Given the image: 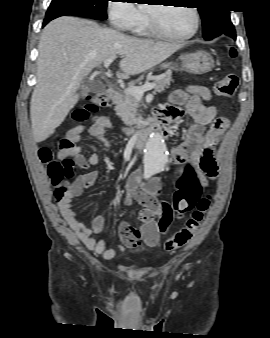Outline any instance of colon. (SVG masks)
Listing matches in <instances>:
<instances>
[{
    "label": "colon",
    "instance_id": "5ec220e1",
    "mask_svg": "<svg viewBox=\"0 0 270 338\" xmlns=\"http://www.w3.org/2000/svg\"><path fill=\"white\" fill-rule=\"evenodd\" d=\"M231 57L237 56V50L234 47L228 48ZM238 85L236 75H225L214 87V92L219 96L233 97ZM109 104L108 97L103 93H97L89 96L86 105L76 110L75 119L79 122L86 120L90 113L96 111L99 107H106ZM228 121L225 118L215 120L213 127L225 130L228 127ZM61 149H70L73 143L64 138L60 143ZM40 161L47 165L49 180L55 189L66 187L68 181L73 176V161L70 158H64L61 161L52 160V152L48 148H42L38 152ZM201 170L209 177L214 178L217 174L216 162L212 157V150L209 147L203 149ZM210 205L209 195H200V186L198 184L178 190L173 197V204L164 203L162 212L165 223L169 222L174 216H181L184 213L193 210L191 217L187 220L185 226L178 230L171 238L165 241L164 249L168 252L187 244L199 230L201 223L207 213ZM143 220H150L151 215L142 213Z\"/></svg>",
    "mask_w": 270,
    "mask_h": 338
}]
</instances>
